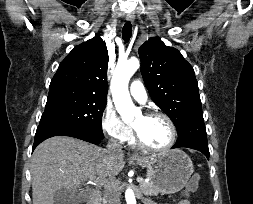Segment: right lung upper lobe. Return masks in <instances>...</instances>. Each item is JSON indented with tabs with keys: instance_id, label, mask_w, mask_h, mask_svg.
Segmentation results:
<instances>
[{
	"instance_id": "cb5924a9",
	"label": "right lung upper lobe",
	"mask_w": 253,
	"mask_h": 204,
	"mask_svg": "<svg viewBox=\"0 0 253 204\" xmlns=\"http://www.w3.org/2000/svg\"><path fill=\"white\" fill-rule=\"evenodd\" d=\"M108 51L98 34L76 46L60 63L50 87L67 86L107 99Z\"/></svg>"
}]
</instances>
